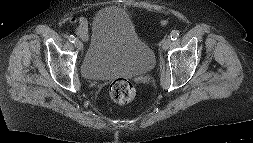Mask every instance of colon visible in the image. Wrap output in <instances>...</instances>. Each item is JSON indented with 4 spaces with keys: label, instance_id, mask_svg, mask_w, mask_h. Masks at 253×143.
I'll return each mask as SVG.
<instances>
[{
    "label": "colon",
    "instance_id": "colon-1",
    "mask_svg": "<svg viewBox=\"0 0 253 143\" xmlns=\"http://www.w3.org/2000/svg\"><path fill=\"white\" fill-rule=\"evenodd\" d=\"M135 94V87L128 79L118 78L110 85V96L117 103H129L134 99Z\"/></svg>",
    "mask_w": 253,
    "mask_h": 143
}]
</instances>
